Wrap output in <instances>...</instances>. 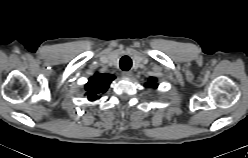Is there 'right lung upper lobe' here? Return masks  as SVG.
Instances as JSON below:
<instances>
[{"label": "right lung upper lobe", "mask_w": 248, "mask_h": 158, "mask_svg": "<svg viewBox=\"0 0 248 158\" xmlns=\"http://www.w3.org/2000/svg\"><path fill=\"white\" fill-rule=\"evenodd\" d=\"M115 79L111 74H99L96 73L92 76L88 83L85 85L86 95L90 101H94L100 98V94L107 91L112 80Z\"/></svg>", "instance_id": "right-lung-upper-lobe-1"}]
</instances>
